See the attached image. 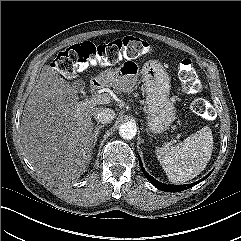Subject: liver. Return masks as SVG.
<instances>
[{"label": "liver", "instance_id": "6515ba94", "mask_svg": "<svg viewBox=\"0 0 241 241\" xmlns=\"http://www.w3.org/2000/svg\"><path fill=\"white\" fill-rule=\"evenodd\" d=\"M77 93L75 82L45 65L24 106L19 128L24 154L51 184L78 180L92 159L98 107L79 101Z\"/></svg>", "mask_w": 241, "mask_h": 241}]
</instances>
